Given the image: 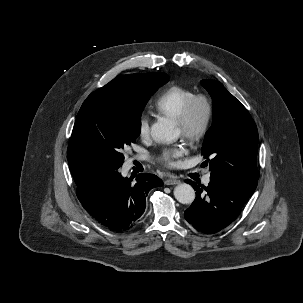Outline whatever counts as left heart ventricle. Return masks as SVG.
Instances as JSON below:
<instances>
[{"mask_svg":"<svg viewBox=\"0 0 303 303\" xmlns=\"http://www.w3.org/2000/svg\"><path fill=\"white\" fill-rule=\"evenodd\" d=\"M202 113H203V109H202L201 106H199V107L197 108V110H196V117H197V118H200L201 115H202ZM178 129H179V131H181V128H180L179 125H178Z\"/></svg>","mask_w":303,"mask_h":303,"instance_id":"1","label":"left heart ventricle"}]
</instances>
